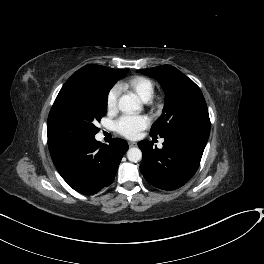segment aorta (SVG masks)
Wrapping results in <instances>:
<instances>
[{
    "instance_id": "obj_1",
    "label": "aorta",
    "mask_w": 264,
    "mask_h": 264,
    "mask_svg": "<svg viewBox=\"0 0 264 264\" xmlns=\"http://www.w3.org/2000/svg\"><path fill=\"white\" fill-rule=\"evenodd\" d=\"M119 109L126 114H133L141 109L139 98L134 95H123L118 102ZM127 158L131 162H138L142 158V152L139 148L133 147L127 151Z\"/></svg>"
}]
</instances>
